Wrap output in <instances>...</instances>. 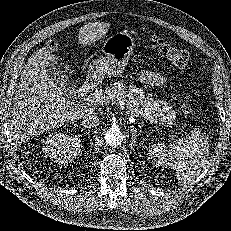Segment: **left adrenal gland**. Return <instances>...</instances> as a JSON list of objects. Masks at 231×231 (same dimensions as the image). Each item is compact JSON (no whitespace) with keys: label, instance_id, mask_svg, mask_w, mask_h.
I'll return each instance as SVG.
<instances>
[{"label":"left adrenal gland","instance_id":"left-adrenal-gland-1","mask_svg":"<svg viewBox=\"0 0 231 231\" xmlns=\"http://www.w3.org/2000/svg\"><path fill=\"white\" fill-rule=\"evenodd\" d=\"M128 128H129L130 131L132 132V140H133V142L135 143V140H136V138H137V136H138V130H137V128H136L135 126H133V125L128 126Z\"/></svg>","mask_w":231,"mask_h":231}]
</instances>
